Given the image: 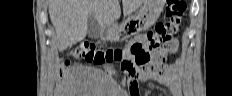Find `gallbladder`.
<instances>
[{
	"mask_svg": "<svg viewBox=\"0 0 232 96\" xmlns=\"http://www.w3.org/2000/svg\"><path fill=\"white\" fill-rule=\"evenodd\" d=\"M102 32V28L94 14H91L88 17V23H87V34L88 37L92 39H97L100 37Z\"/></svg>",
	"mask_w": 232,
	"mask_h": 96,
	"instance_id": "bac80fb5",
	"label": "gallbladder"
}]
</instances>
